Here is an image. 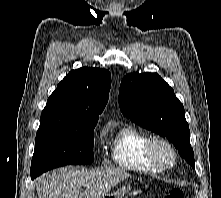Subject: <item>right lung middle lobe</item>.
Masks as SVG:
<instances>
[{
	"instance_id": "1",
	"label": "right lung middle lobe",
	"mask_w": 221,
	"mask_h": 198,
	"mask_svg": "<svg viewBox=\"0 0 221 198\" xmlns=\"http://www.w3.org/2000/svg\"><path fill=\"white\" fill-rule=\"evenodd\" d=\"M94 128L85 131L38 129L30 168L31 178L64 165L92 163Z\"/></svg>"
}]
</instances>
